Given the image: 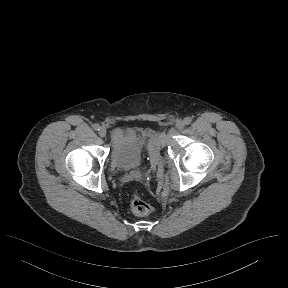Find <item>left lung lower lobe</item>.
<instances>
[{"label":"left lung lower lobe","mask_w":288,"mask_h":288,"mask_svg":"<svg viewBox=\"0 0 288 288\" xmlns=\"http://www.w3.org/2000/svg\"><path fill=\"white\" fill-rule=\"evenodd\" d=\"M264 207V202L261 198H259V200L254 204V206L252 207L249 216H256L259 215Z\"/></svg>","instance_id":"obj_1"}]
</instances>
